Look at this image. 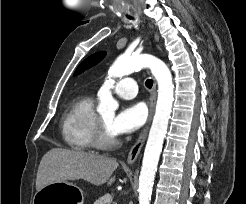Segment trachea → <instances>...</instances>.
I'll return each mask as SVG.
<instances>
[{
    "label": "trachea",
    "instance_id": "3493384b",
    "mask_svg": "<svg viewBox=\"0 0 246 204\" xmlns=\"http://www.w3.org/2000/svg\"><path fill=\"white\" fill-rule=\"evenodd\" d=\"M145 85L147 88L151 89L152 85H153V80L152 79H147L145 82Z\"/></svg>",
    "mask_w": 246,
    "mask_h": 204
}]
</instances>
